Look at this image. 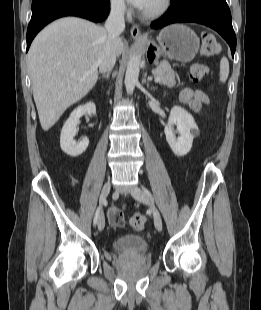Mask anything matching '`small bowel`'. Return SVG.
<instances>
[{
  "mask_svg": "<svg viewBox=\"0 0 261 310\" xmlns=\"http://www.w3.org/2000/svg\"><path fill=\"white\" fill-rule=\"evenodd\" d=\"M180 101L188 106L192 111L198 113L208 105V96L201 90L183 88L179 95ZM123 214V213H122ZM110 220V218H109ZM112 222V221H110Z\"/></svg>",
  "mask_w": 261,
  "mask_h": 310,
  "instance_id": "1",
  "label": "small bowel"
}]
</instances>
